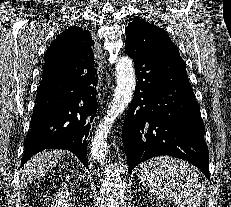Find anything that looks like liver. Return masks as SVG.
Segmentation results:
<instances>
[{
	"mask_svg": "<svg viewBox=\"0 0 231 207\" xmlns=\"http://www.w3.org/2000/svg\"><path fill=\"white\" fill-rule=\"evenodd\" d=\"M63 154L64 151L60 150L38 153L25 164L21 179L24 181H32L40 178L49 168L57 164Z\"/></svg>",
	"mask_w": 231,
	"mask_h": 207,
	"instance_id": "obj_1",
	"label": "liver"
}]
</instances>
